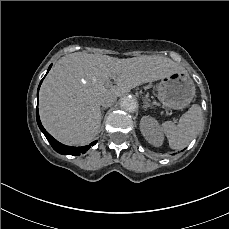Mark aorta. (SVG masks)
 <instances>
[{"label": "aorta", "instance_id": "762f6f07", "mask_svg": "<svg viewBox=\"0 0 229 229\" xmlns=\"http://www.w3.org/2000/svg\"><path fill=\"white\" fill-rule=\"evenodd\" d=\"M120 106L127 112H135L138 108L137 100L131 96H127L121 99Z\"/></svg>", "mask_w": 229, "mask_h": 229}]
</instances>
